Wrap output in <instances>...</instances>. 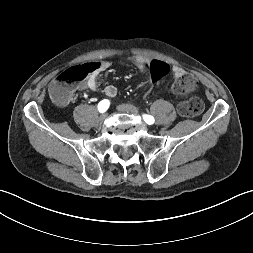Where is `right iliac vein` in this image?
<instances>
[{"instance_id": "right-iliac-vein-1", "label": "right iliac vein", "mask_w": 253, "mask_h": 253, "mask_svg": "<svg viewBox=\"0 0 253 253\" xmlns=\"http://www.w3.org/2000/svg\"><path fill=\"white\" fill-rule=\"evenodd\" d=\"M106 118H107V114H106V113H103V114L100 115L99 120H100L101 122H103L104 120H106Z\"/></svg>"}]
</instances>
